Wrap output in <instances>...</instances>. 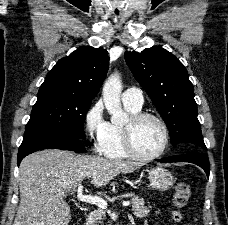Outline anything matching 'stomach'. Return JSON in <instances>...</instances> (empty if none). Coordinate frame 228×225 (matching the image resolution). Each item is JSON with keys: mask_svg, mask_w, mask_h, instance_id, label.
<instances>
[{"mask_svg": "<svg viewBox=\"0 0 228 225\" xmlns=\"http://www.w3.org/2000/svg\"><path fill=\"white\" fill-rule=\"evenodd\" d=\"M150 187L157 189V191H168L174 185V177L169 171L162 169V167H153L149 171Z\"/></svg>", "mask_w": 228, "mask_h": 225, "instance_id": "0dacf381", "label": "stomach"}]
</instances>
